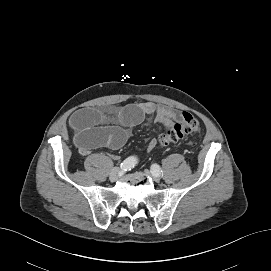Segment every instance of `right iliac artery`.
Masks as SVG:
<instances>
[{"label":"right iliac artery","mask_w":271,"mask_h":271,"mask_svg":"<svg viewBox=\"0 0 271 271\" xmlns=\"http://www.w3.org/2000/svg\"><path fill=\"white\" fill-rule=\"evenodd\" d=\"M137 163V158L134 157V156H131V157H128L127 159H125L120 167L122 170L124 171H128V170H131Z\"/></svg>","instance_id":"obj_1"}]
</instances>
